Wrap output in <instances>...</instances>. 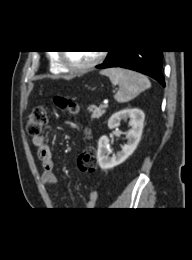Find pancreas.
I'll return each mask as SVG.
<instances>
[{
    "label": "pancreas",
    "mask_w": 192,
    "mask_h": 260,
    "mask_svg": "<svg viewBox=\"0 0 192 260\" xmlns=\"http://www.w3.org/2000/svg\"><path fill=\"white\" fill-rule=\"evenodd\" d=\"M88 111L92 113L91 115L92 119H96V118L98 119L106 112V107H104L103 105H100L99 107L90 106L88 108Z\"/></svg>",
    "instance_id": "cf45deb5"
}]
</instances>
